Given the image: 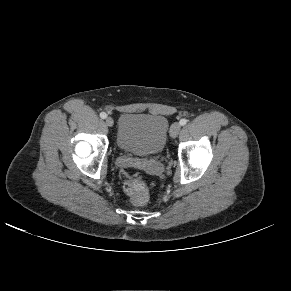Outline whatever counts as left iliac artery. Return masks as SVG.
<instances>
[{
	"instance_id": "44dca946",
	"label": "left iliac artery",
	"mask_w": 291,
	"mask_h": 291,
	"mask_svg": "<svg viewBox=\"0 0 291 291\" xmlns=\"http://www.w3.org/2000/svg\"><path fill=\"white\" fill-rule=\"evenodd\" d=\"M179 123H180V125L184 126V125H186L187 120L186 119H181Z\"/></svg>"
}]
</instances>
